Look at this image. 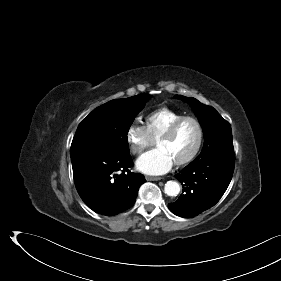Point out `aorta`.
Masks as SVG:
<instances>
[{
	"label": "aorta",
	"mask_w": 281,
	"mask_h": 281,
	"mask_svg": "<svg viewBox=\"0 0 281 281\" xmlns=\"http://www.w3.org/2000/svg\"><path fill=\"white\" fill-rule=\"evenodd\" d=\"M164 191L168 196H177L180 192V185L176 181H168Z\"/></svg>",
	"instance_id": "obj_1"
}]
</instances>
